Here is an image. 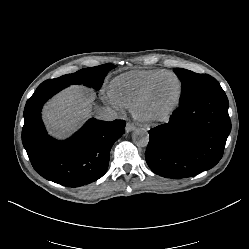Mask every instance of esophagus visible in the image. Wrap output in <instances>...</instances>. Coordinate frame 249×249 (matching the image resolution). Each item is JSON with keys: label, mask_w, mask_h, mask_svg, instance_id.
<instances>
[{"label": "esophagus", "mask_w": 249, "mask_h": 249, "mask_svg": "<svg viewBox=\"0 0 249 249\" xmlns=\"http://www.w3.org/2000/svg\"><path fill=\"white\" fill-rule=\"evenodd\" d=\"M136 127L132 122H127L126 124V132H132L133 130H135Z\"/></svg>", "instance_id": "obj_1"}]
</instances>
